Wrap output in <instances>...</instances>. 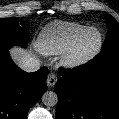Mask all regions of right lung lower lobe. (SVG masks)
Masks as SVG:
<instances>
[{
	"label": "right lung lower lobe",
	"instance_id": "98d812e1",
	"mask_svg": "<svg viewBox=\"0 0 119 119\" xmlns=\"http://www.w3.org/2000/svg\"><path fill=\"white\" fill-rule=\"evenodd\" d=\"M10 44L0 42V119H26L46 91L48 69L27 73L9 57Z\"/></svg>",
	"mask_w": 119,
	"mask_h": 119
}]
</instances>
